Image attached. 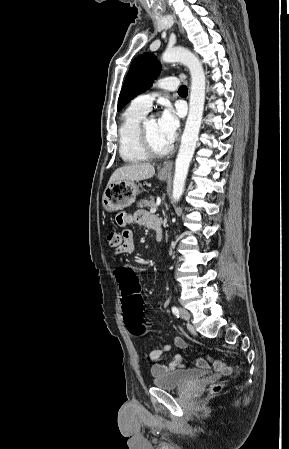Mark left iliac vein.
<instances>
[{
	"instance_id": "4c4485c4",
	"label": "left iliac vein",
	"mask_w": 289,
	"mask_h": 449,
	"mask_svg": "<svg viewBox=\"0 0 289 449\" xmlns=\"http://www.w3.org/2000/svg\"><path fill=\"white\" fill-rule=\"evenodd\" d=\"M180 316L186 321L190 320V313L184 308H180ZM188 327L191 328V325L188 324Z\"/></svg>"
}]
</instances>
